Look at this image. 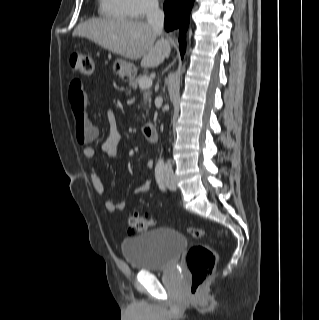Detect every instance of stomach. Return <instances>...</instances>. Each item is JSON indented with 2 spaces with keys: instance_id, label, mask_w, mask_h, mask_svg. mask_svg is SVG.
I'll use <instances>...</instances> for the list:
<instances>
[{
  "instance_id": "1",
  "label": "stomach",
  "mask_w": 319,
  "mask_h": 320,
  "mask_svg": "<svg viewBox=\"0 0 319 320\" xmlns=\"http://www.w3.org/2000/svg\"><path fill=\"white\" fill-rule=\"evenodd\" d=\"M113 73L122 80L131 79L135 75V68L132 63L117 59L113 64Z\"/></svg>"
}]
</instances>
